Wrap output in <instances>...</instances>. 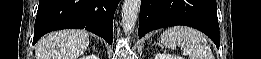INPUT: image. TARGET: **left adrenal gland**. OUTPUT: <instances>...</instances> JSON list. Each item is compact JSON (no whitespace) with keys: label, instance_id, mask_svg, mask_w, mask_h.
Here are the masks:
<instances>
[{"label":"left adrenal gland","instance_id":"a2214340","mask_svg":"<svg viewBox=\"0 0 261 59\" xmlns=\"http://www.w3.org/2000/svg\"><path fill=\"white\" fill-rule=\"evenodd\" d=\"M154 44H155V45H158V46H162L161 43L158 42V41H157L156 43H154Z\"/></svg>","mask_w":261,"mask_h":59}]
</instances>
